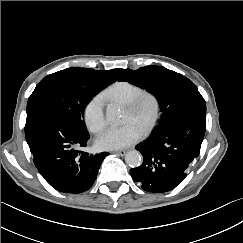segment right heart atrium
<instances>
[{"mask_svg":"<svg viewBox=\"0 0 243 243\" xmlns=\"http://www.w3.org/2000/svg\"><path fill=\"white\" fill-rule=\"evenodd\" d=\"M84 120L92 133L100 132L106 125L105 99L102 95L93 96L84 108Z\"/></svg>","mask_w":243,"mask_h":243,"instance_id":"right-heart-atrium-1","label":"right heart atrium"}]
</instances>
